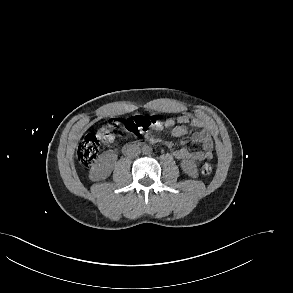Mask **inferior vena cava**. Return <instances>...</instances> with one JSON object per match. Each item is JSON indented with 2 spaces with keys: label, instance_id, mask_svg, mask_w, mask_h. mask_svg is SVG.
<instances>
[{
  "label": "inferior vena cava",
  "instance_id": "inferior-vena-cava-1",
  "mask_svg": "<svg viewBox=\"0 0 293 293\" xmlns=\"http://www.w3.org/2000/svg\"><path fill=\"white\" fill-rule=\"evenodd\" d=\"M141 150L137 147L130 148L127 152V156L130 158L137 157L140 154Z\"/></svg>",
  "mask_w": 293,
  "mask_h": 293
}]
</instances>
